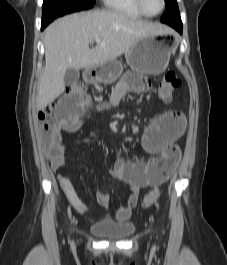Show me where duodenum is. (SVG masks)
Segmentation results:
<instances>
[{"mask_svg":"<svg viewBox=\"0 0 227 265\" xmlns=\"http://www.w3.org/2000/svg\"><path fill=\"white\" fill-rule=\"evenodd\" d=\"M87 79H88V80H91V76H88Z\"/></svg>","mask_w":227,"mask_h":265,"instance_id":"duodenum-1","label":"duodenum"}]
</instances>
